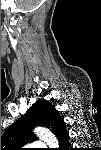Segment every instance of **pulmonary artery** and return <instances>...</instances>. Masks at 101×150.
<instances>
[{"instance_id":"pulmonary-artery-1","label":"pulmonary artery","mask_w":101,"mask_h":150,"mask_svg":"<svg viewBox=\"0 0 101 150\" xmlns=\"http://www.w3.org/2000/svg\"><path fill=\"white\" fill-rule=\"evenodd\" d=\"M34 146H44V144L42 142H36L33 144Z\"/></svg>"}]
</instances>
